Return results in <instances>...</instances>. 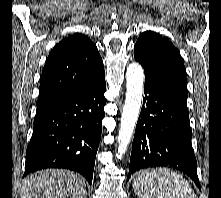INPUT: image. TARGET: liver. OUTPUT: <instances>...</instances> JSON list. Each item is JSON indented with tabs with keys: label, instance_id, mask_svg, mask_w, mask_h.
<instances>
[{
	"label": "liver",
	"instance_id": "6515ba94",
	"mask_svg": "<svg viewBox=\"0 0 221 198\" xmlns=\"http://www.w3.org/2000/svg\"><path fill=\"white\" fill-rule=\"evenodd\" d=\"M85 179L64 169H46L24 180L20 198H86Z\"/></svg>",
	"mask_w": 221,
	"mask_h": 198
}]
</instances>
